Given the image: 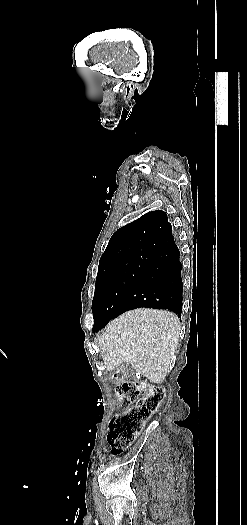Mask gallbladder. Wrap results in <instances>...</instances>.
<instances>
[{
    "label": "gallbladder",
    "mask_w": 247,
    "mask_h": 525,
    "mask_svg": "<svg viewBox=\"0 0 247 525\" xmlns=\"http://www.w3.org/2000/svg\"><path fill=\"white\" fill-rule=\"evenodd\" d=\"M128 371H125V375H128V372L130 374H133L135 372V369L133 367H131V365H128Z\"/></svg>",
    "instance_id": "gallbladder-1"
}]
</instances>
